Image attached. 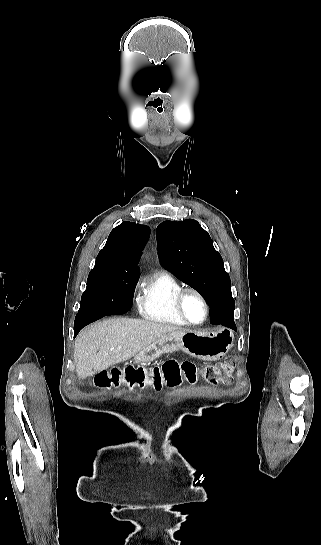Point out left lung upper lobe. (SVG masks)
Returning a JSON list of instances; mask_svg holds the SVG:
<instances>
[{
	"instance_id": "1",
	"label": "left lung upper lobe",
	"mask_w": 321,
	"mask_h": 545,
	"mask_svg": "<svg viewBox=\"0 0 321 545\" xmlns=\"http://www.w3.org/2000/svg\"><path fill=\"white\" fill-rule=\"evenodd\" d=\"M161 264L197 290L210 311L234 315L231 281L209 234L193 219L164 221L157 227Z\"/></svg>"
}]
</instances>
